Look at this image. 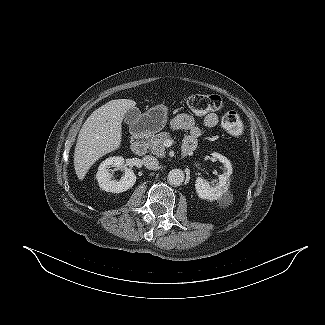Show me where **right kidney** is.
Here are the masks:
<instances>
[{"instance_id":"obj_1","label":"right kidney","mask_w":325,"mask_h":325,"mask_svg":"<svg viewBox=\"0 0 325 325\" xmlns=\"http://www.w3.org/2000/svg\"><path fill=\"white\" fill-rule=\"evenodd\" d=\"M124 162L123 157L117 156L109 157L99 165L96 179L102 190L112 193H121L127 191L135 184L136 175L132 169L124 167ZM111 167H124L125 175L120 181L111 180V174L109 173Z\"/></svg>"}]
</instances>
